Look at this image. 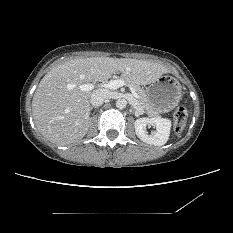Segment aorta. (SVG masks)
I'll list each match as a JSON object with an SVG mask.
<instances>
[{"mask_svg": "<svg viewBox=\"0 0 233 233\" xmlns=\"http://www.w3.org/2000/svg\"><path fill=\"white\" fill-rule=\"evenodd\" d=\"M127 106V100L124 98H120L116 101V107L119 109H124Z\"/></svg>", "mask_w": 233, "mask_h": 233, "instance_id": "obj_1", "label": "aorta"}]
</instances>
